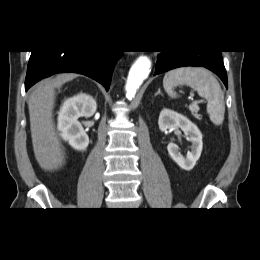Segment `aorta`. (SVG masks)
<instances>
[{
	"label": "aorta",
	"mask_w": 260,
	"mask_h": 260,
	"mask_svg": "<svg viewBox=\"0 0 260 260\" xmlns=\"http://www.w3.org/2000/svg\"><path fill=\"white\" fill-rule=\"evenodd\" d=\"M151 67V61L147 56H140L132 65L125 90H126V97L128 99H132L137 89L141 86L143 81L148 77Z\"/></svg>",
	"instance_id": "obj_1"
}]
</instances>
